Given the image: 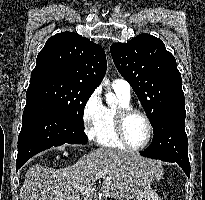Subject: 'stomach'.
Here are the masks:
<instances>
[{"label": "stomach", "mask_w": 205, "mask_h": 200, "mask_svg": "<svg viewBox=\"0 0 205 200\" xmlns=\"http://www.w3.org/2000/svg\"><path fill=\"white\" fill-rule=\"evenodd\" d=\"M157 171H161V168L157 169ZM136 200H161V198L155 191H153L151 188H148L143 190L139 196L136 197Z\"/></svg>", "instance_id": "1"}]
</instances>
